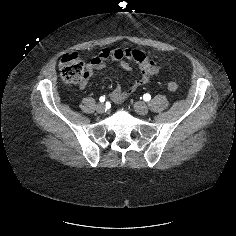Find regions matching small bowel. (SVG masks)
<instances>
[{"mask_svg":"<svg viewBox=\"0 0 236 236\" xmlns=\"http://www.w3.org/2000/svg\"><path fill=\"white\" fill-rule=\"evenodd\" d=\"M108 59L118 61L119 67L124 71H130L135 64L140 69L139 77L128 89L123 90L117 86L110 94L111 98L117 102L122 101L139 87L149 83L162 70L158 63L144 52L129 48H118L114 50L103 49L97 56L92 58L89 63L90 74L94 75L96 71L104 69ZM85 86L86 82L81 84L80 88L83 89Z\"/></svg>","mask_w":236,"mask_h":236,"instance_id":"c3829d8e","label":"small bowel"}]
</instances>
